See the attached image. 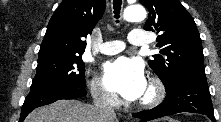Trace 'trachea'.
I'll return each instance as SVG.
<instances>
[{
	"mask_svg": "<svg viewBox=\"0 0 221 122\" xmlns=\"http://www.w3.org/2000/svg\"><path fill=\"white\" fill-rule=\"evenodd\" d=\"M122 0H113V8L115 18L118 19L120 17V9H121Z\"/></svg>",
	"mask_w": 221,
	"mask_h": 122,
	"instance_id": "obj_1",
	"label": "trachea"
}]
</instances>
